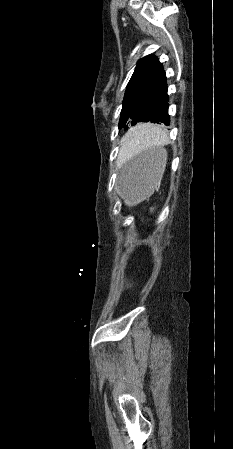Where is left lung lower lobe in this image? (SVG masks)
Returning <instances> with one entry per match:
<instances>
[{"mask_svg":"<svg viewBox=\"0 0 233 449\" xmlns=\"http://www.w3.org/2000/svg\"><path fill=\"white\" fill-rule=\"evenodd\" d=\"M166 89L154 100L153 104L147 111L142 122H153V123H164L165 125L170 124V117L168 115V101L169 97Z\"/></svg>","mask_w":233,"mask_h":449,"instance_id":"left-lung-lower-lobe-1","label":"left lung lower lobe"}]
</instances>
